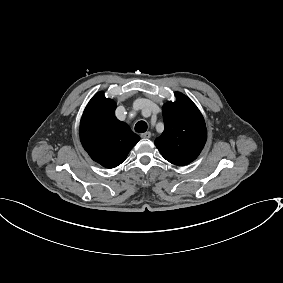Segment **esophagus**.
Wrapping results in <instances>:
<instances>
[{"label":"esophagus","mask_w":283,"mask_h":283,"mask_svg":"<svg viewBox=\"0 0 283 283\" xmlns=\"http://www.w3.org/2000/svg\"><path fill=\"white\" fill-rule=\"evenodd\" d=\"M140 136L143 139H149L151 137V133L148 131V132L142 133Z\"/></svg>","instance_id":"34e87169"}]
</instances>
